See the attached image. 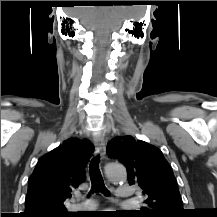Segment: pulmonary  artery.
Listing matches in <instances>:
<instances>
[{"label": "pulmonary artery", "instance_id": "pulmonary-artery-1", "mask_svg": "<svg viewBox=\"0 0 217 217\" xmlns=\"http://www.w3.org/2000/svg\"><path fill=\"white\" fill-rule=\"evenodd\" d=\"M133 195V189L130 186H121L116 190V196L119 199L129 200ZM95 205L91 202H87L84 205H77L76 209L93 208Z\"/></svg>", "mask_w": 217, "mask_h": 217}]
</instances>
